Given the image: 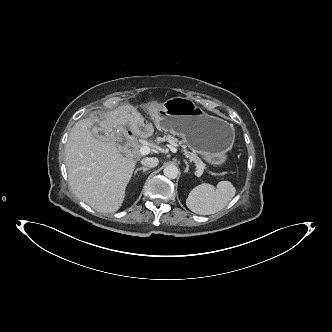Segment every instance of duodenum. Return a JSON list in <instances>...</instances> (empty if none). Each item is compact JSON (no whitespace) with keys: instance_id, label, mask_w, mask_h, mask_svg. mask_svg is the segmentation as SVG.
<instances>
[{"instance_id":"1","label":"duodenum","mask_w":332,"mask_h":332,"mask_svg":"<svg viewBox=\"0 0 332 332\" xmlns=\"http://www.w3.org/2000/svg\"><path fill=\"white\" fill-rule=\"evenodd\" d=\"M128 133H129V135H132V133H131V131H130V130H128Z\"/></svg>"}]
</instances>
